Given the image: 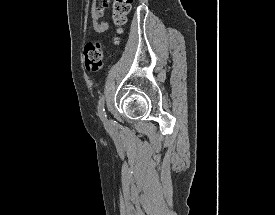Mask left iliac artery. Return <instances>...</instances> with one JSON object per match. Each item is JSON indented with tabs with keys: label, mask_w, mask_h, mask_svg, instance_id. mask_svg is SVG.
<instances>
[{
	"label": "left iliac artery",
	"mask_w": 275,
	"mask_h": 215,
	"mask_svg": "<svg viewBox=\"0 0 275 215\" xmlns=\"http://www.w3.org/2000/svg\"><path fill=\"white\" fill-rule=\"evenodd\" d=\"M104 103H105V100H104V96L102 95L98 102V115L100 119L105 122L107 120V115L105 112Z\"/></svg>",
	"instance_id": "1"
}]
</instances>
